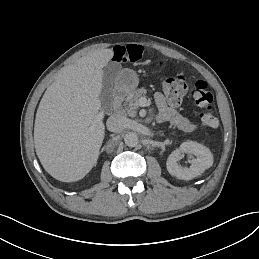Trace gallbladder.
<instances>
[{
  "label": "gallbladder",
  "instance_id": "bac80fb5",
  "mask_svg": "<svg viewBox=\"0 0 259 259\" xmlns=\"http://www.w3.org/2000/svg\"><path fill=\"white\" fill-rule=\"evenodd\" d=\"M120 69V64L119 63H109L104 71V81H103V89L101 93V101H102V106L103 110L106 112H111L112 111V100H113V95H112V86H113V80L115 77V74L117 71Z\"/></svg>",
  "mask_w": 259,
  "mask_h": 259
}]
</instances>
